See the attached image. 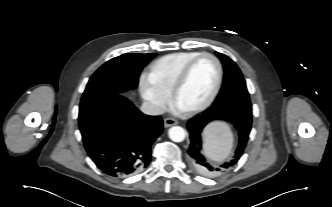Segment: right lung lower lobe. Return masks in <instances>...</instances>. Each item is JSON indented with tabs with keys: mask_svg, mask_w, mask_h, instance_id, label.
I'll return each instance as SVG.
<instances>
[{
	"mask_svg": "<svg viewBox=\"0 0 332 207\" xmlns=\"http://www.w3.org/2000/svg\"><path fill=\"white\" fill-rule=\"evenodd\" d=\"M78 121L88 155L101 171L113 177L146 168L151 146L163 131L160 116L143 114L117 93L81 102Z\"/></svg>",
	"mask_w": 332,
	"mask_h": 207,
	"instance_id": "1",
	"label": "right lung lower lobe"
}]
</instances>
